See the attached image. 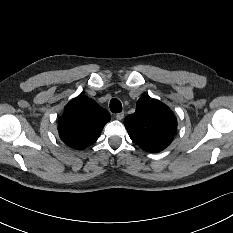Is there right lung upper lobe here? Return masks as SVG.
I'll return each instance as SVG.
<instances>
[{
	"instance_id": "obj_1",
	"label": "right lung upper lobe",
	"mask_w": 233,
	"mask_h": 233,
	"mask_svg": "<svg viewBox=\"0 0 233 233\" xmlns=\"http://www.w3.org/2000/svg\"><path fill=\"white\" fill-rule=\"evenodd\" d=\"M109 120L108 111L94 100L76 97L65 106L58 120L59 135L68 146L82 150L99 138Z\"/></svg>"
}]
</instances>
